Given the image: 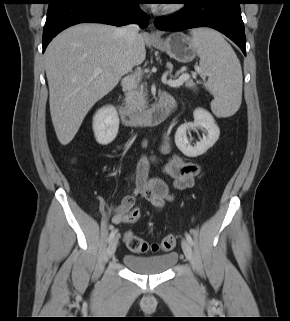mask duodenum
Instances as JSON below:
<instances>
[{
  "label": "duodenum",
  "mask_w": 290,
  "mask_h": 321,
  "mask_svg": "<svg viewBox=\"0 0 290 321\" xmlns=\"http://www.w3.org/2000/svg\"><path fill=\"white\" fill-rule=\"evenodd\" d=\"M175 101L169 96H163L161 102L151 111L136 113L118 104H114V109L121 121L130 127L157 125L163 122L174 110Z\"/></svg>",
  "instance_id": "410a0bca"
}]
</instances>
